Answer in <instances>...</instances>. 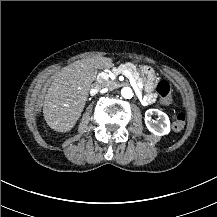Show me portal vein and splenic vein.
<instances>
[{"mask_svg": "<svg viewBox=\"0 0 217 217\" xmlns=\"http://www.w3.org/2000/svg\"><path fill=\"white\" fill-rule=\"evenodd\" d=\"M125 76L129 79L131 86H133V87L137 86L136 81H135V79H134V77H133V75H132L131 72H129L128 70L125 71ZM109 77L112 80L115 79V75L114 74L109 75Z\"/></svg>", "mask_w": 217, "mask_h": 217, "instance_id": "obj_1", "label": "portal vein and splenic vein"}]
</instances>
